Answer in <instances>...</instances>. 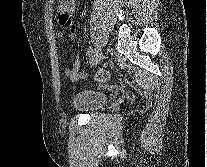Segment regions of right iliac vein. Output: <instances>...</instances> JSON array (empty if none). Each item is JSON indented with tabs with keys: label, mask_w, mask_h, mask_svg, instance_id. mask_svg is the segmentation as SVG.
I'll use <instances>...</instances> for the list:
<instances>
[{
	"label": "right iliac vein",
	"mask_w": 207,
	"mask_h": 167,
	"mask_svg": "<svg viewBox=\"0 0 207 167\" xmlns=\"http://www.w3.org/2000/svg\"><path fill=\"white\" fill-rule=\"evenodd\" d=\"M102 58V50L100 47H97L92 54L90 64L91 66H96Z\"/></svg>",
	"instance_id": "63e3f726"
}]
</instances>
